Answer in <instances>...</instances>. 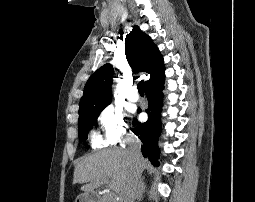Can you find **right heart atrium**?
Segmentation results:
<instances>
[{
	"instance_id": "d8ad5b80",
	"label": "right heart atrium",
	"mask_w": 255,
	"mask_h": 202,
	"mask_svg": "<svg viewBox=\"0 0 255 202\" xmlns=\"http://www.w3.org/2000/svg\"><path fill=\"white\" fill-rule=\"evenodd\" d=\"M98 123L101 134L97 139V144L100 146L117 144L129 134V127L123 112L113 105H108L101 110Z\"/></svg>"
}]
</instances>
